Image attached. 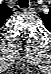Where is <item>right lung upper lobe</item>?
I'll list each match as a JSON object with an SVG mask.
<instances>
[{
    "label": "right lung upper lobe",
    "instance_id": "cb5924a9",
    "mask_svg": "<svg viewBox=\"0 0 51 74\" xmlns=\"http://www.w3.org/2000/svg\"><path fill=\"white\" fill-rule=\"evenodd\" d=\"M2 14H3V20H1V22L3 23L5 21L6 18H8L10 15H12L13 13L11 12V10L7 7V8H2Z\"/></svg>",
    "mask_w": 51,
    "mask_h": 74
}]
</instances>
